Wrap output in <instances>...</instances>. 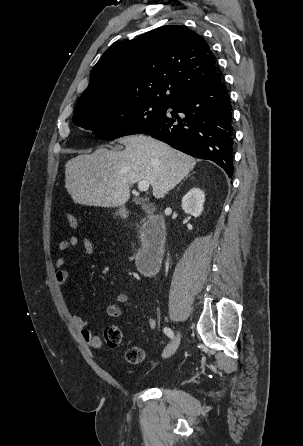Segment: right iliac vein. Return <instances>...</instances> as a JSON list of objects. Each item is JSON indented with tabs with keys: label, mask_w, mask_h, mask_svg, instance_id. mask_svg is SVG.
Masks as SVG:
<instances>
[{
	"label": "right iliac vein",
	"mask_w": 303,
	"mask_h": 446,
	"mask_svg": "<svg viewBox=\"0 0 303 446\" xmlns=\"http://www.w3.org/2000/svg\"><path fill=\"white\" fill-rule=\"evenodd\" d=\"M180 339H181V335H180V332H178L176 337L171 341V343L163 351L162 356L164 358H168L175 353V351L177 350V348L180 344Z\"/></svg>",
	"instance_id": "right-iliac-vein-1"
}]
</instances>
